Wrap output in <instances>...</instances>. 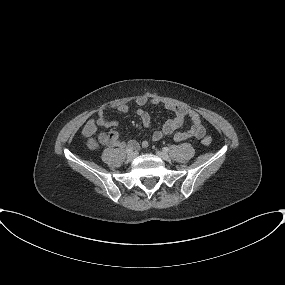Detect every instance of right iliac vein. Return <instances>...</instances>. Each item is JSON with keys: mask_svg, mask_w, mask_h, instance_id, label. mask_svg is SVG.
Returning <instances> with one entry per match:
<instances>
[{"mask_svg": "<svg viewBox=\"0 0 285 285\" xmlns=\"http://www.w3.org/2000/svg\"><path fill=\"white\" fill-rule=\"evenodd\" d=\"M137 157V152H131L127 156V161L132 162Z\"/></svg>", "mask_w": 285, "mask_h": 285, "instance_id": "obj_1", "label": "right iliac vein"}]
</instances>
